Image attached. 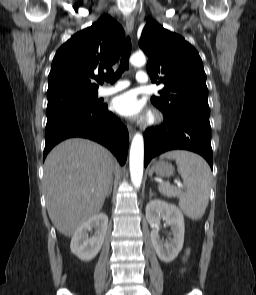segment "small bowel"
<instances>
[{
	"label": "small bowel",
	"instance_id": "obj_1",
	"mask_svg": "<svg viewBox=\"0 0 256 295\" xmlns=\"http://www.w3.org/2000/svg\"><path fill=\"white\" fill-rule=\"evenodd\" d=\"M188 253H189V251L187 250V251H186V256H185V257H187Z\"/></svg>",
	"mask_w": 256,
	"mask_h": 295
}]
</instances>
